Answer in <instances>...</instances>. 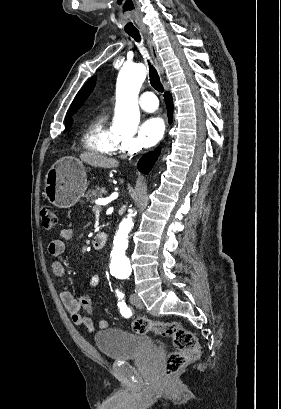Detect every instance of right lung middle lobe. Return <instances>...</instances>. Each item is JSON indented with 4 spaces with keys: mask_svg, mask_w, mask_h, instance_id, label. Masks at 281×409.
Instances as JSON below:
<instances>
[{
    "mask_svg": "<svg viewBox=\"0 0 281 409\" xmlns=\"http://www.w3.org/2000/svg\"><path fill=\"white\" fill-rule=\"evenodd\" d=\"M71 125H65V131H67L70 128Z\"/></svg>",
    "mask_w": 281,
    "mask_h": 409,
    "instance_id": "right-lung-middle-lobe-1",
    "label": "right lung middle lobe"
}]
</instances>
